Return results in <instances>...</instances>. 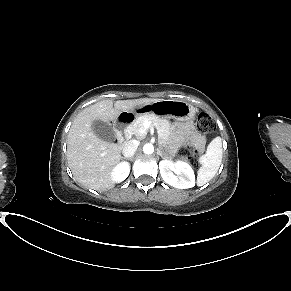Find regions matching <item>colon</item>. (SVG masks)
<instances>
[{
	"mask_svg": "<svg viewBox=\"0 0 291 291\" xmlns=\"http://www.w3.org/2000/svg\"><path fill=\"white\" fill-rule=\"evenodd\" d=\"M196 128L200 132H209L214 129V121L209 115L202 113L197 118ZM178 154L188 163L196 164L197 162L198 151L190 145L181 147Z\"/></svg>",
	"mask_w": 291,
	"mask_h": 291,
	"instance_id": "1",
	"label": "colon"
}]
</instances>
